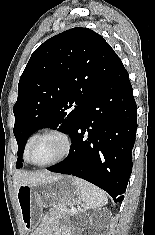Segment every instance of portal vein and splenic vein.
Segmentation results:
<instances>
[{
  "mask_svg": "<svg viewBox=\"0 0 155 235\" xmlns=\"http://www.w3.org/2000/svg\"><path fill=\"white\" fill-rule=\"evenodd\" d=\"M70 211L71 213L75 214L77 212V209L75 207H72Z\"/></svg>",
  "mask_w": 155,
  "mask_h": 235,
  "instance_id": "portal-vein-and-splenic-vein-1",
  "label": "portal vein and splenic vein"
}]
</instances>
